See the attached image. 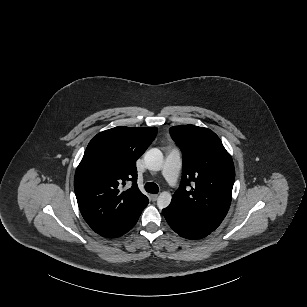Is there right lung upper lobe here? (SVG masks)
Wrapping results in <instances>:
<instances>
[{
  "mask_svg": "<svg viewBox=\"0 0 307 307\" xmlns=\"http://www.w3.org/2000/svg\"><path fill=\"white\" fill-rule=\"evenodd\" d=\"M156 127H115L97 134L76 169L74 189L85 221L102 233L148 202L137 187L136 160L154 140ZM130 189L122 192L126 182Z\"/></svg>",
  "mask_w": 307,
  "mask_h": 307,
  "instance_id": "obj_1",
  "label": "right lung upper lobe"
}]
</instances>
